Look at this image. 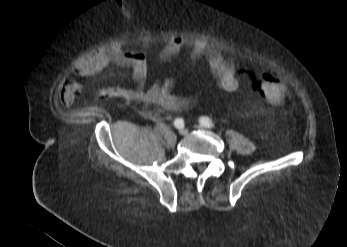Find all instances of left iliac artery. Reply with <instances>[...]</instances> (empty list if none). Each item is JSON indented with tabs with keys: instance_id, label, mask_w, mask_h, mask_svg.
<instances>
[{
	"instance_id": "obj_1",
	"label": "left iliac artery",
	"mask_w": 347,
	"mask_h": 247,
	"mask_svg": "<svg viewBox=\"0 0 347 247\" xmlns=\"http://www.w3.org/2000/svg\"><path fill=\"white\" fill-rule=\"evenodd\" d=\"M200 123L202 126L207 127V128H213L214 127V123L213 121L206 116H203L200 118Z\"/></svg>"
}]
</instances>
